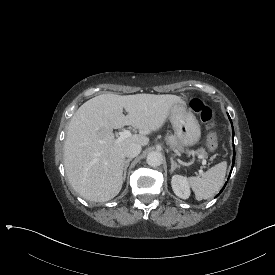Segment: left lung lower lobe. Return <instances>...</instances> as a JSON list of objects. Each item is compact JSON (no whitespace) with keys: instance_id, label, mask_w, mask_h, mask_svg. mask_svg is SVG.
<instances>
[{"instance_id":"1","label":"left lung lower lobe","mask_w":275,"mask_h":275,"mask_svg":"<svg viewBox=\"0 0 275 275\" xmlns=\"http://www.w3.org/2000/svg\"><path fill=\"white\" fill-rule=\"evenodd\" d=\"M229 119H230V117H229ZM230 121H231V119H230ZM231 124H232V121H231ZM232 139L234 140V129H233V126H232ZM233 149H234V156H233V164H232V168H233V166H234V162H235V146L233 145ZM231 172H232V169H231ZM231 172H230V174H231ZM230 176V175H229ZM225 186H226V184L224 185V187L222 188V190H221V192L223 191V189L225 188ZM220 192V193H221ZM218 196V195H217Z\"/></svg>"}]
</instances>
